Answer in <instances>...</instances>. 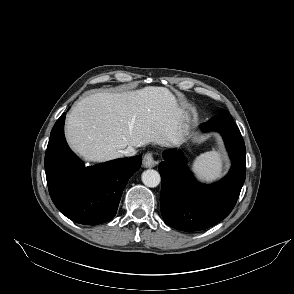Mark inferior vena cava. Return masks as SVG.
<instances>
[{"label": "inferior vena cava", "mask_w": 294, "mask_h": 294, "mask_svg": "<svg viewBox=\"0 0 294 294\" xmlns=\"http://www.w3.org/2000/svg\"><path fill=\"white\" fill-rule=\"evenodd\" d=\"M121 154L127 157H132L135 156L136 150L133 147L128 146L126 149L121 151Z\"/></svg>", "instance_id": "1"}]
</instances>
